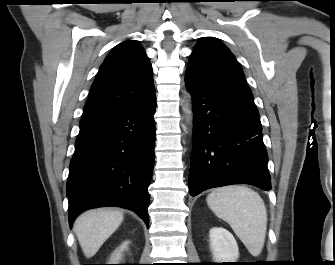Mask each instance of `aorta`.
<instances>
[{
  "label": "aorta",
  "mask_w": 335,
  "mask_h": 265,
  "mask_svg": "<svg viewBox=\"0 0 335 265\" xmlns=\"http://www.w3.org/2000/svg\"><path fill=\"white\" fill-rule=\"evenodd\" d=\"M188 106H189V103H187L186 108L184 109V111H185L186 114L190 115L191 114V110L189 109Z\"/></svg>",
  "instance_id": "obj_1"
}]
</instances>
